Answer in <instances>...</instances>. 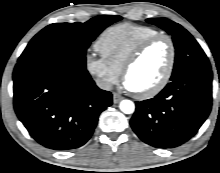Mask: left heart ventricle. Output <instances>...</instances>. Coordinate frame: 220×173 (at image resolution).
Segmentation results:
<instances>
[{
	"mask_svg": "<svg viewBox=\"0 0 220 173\" xmlns=\"http://www.w3.org/2000/svg\"><path fill=\"white\" fill-rule=\"evenodd\" d=\"M170 59V46L161 39L152 44L135 63L125 82L133 91L143 92L154 86L164 75Z\"/></svg>",
	"mask_w": 220,
	"mask_h": 173,
	"instance_id": "b2bd125f",
	"label": "left heart ventricle"
}]
</instances>
